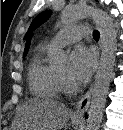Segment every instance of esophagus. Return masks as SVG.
Segmentation results:
<instances>
[{"label": "esophagus", "mask_w": 123, "mask_h": 130, "mask_svg": "<svg viewBox=\"0 0 123 130\" xmlns=\"http://www.w3.org/2000/svg\"><path fill=\"white\" fill-rule=\"evenodd\" d=\"M93 21L101 33V41H102L103 37H102L101 25L95 17H93ZM92 90H93V85H91L90 88L87 90V92L80 97V99L78 100V102L76 104V108L72 114L73 118H75V119L83 118V116H84L85 112L87 111L89 104H90Z\"/></svg>", "instance_id": "esophagus-1"}]
</instances>
